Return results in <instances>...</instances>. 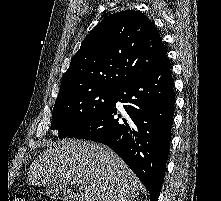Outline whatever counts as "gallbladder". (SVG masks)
Segmentation results:
<instances>
[{"label":"gallbladder","instance_id":"gallbladder-1","mask_svg":"<svg viewBox=\"0 0 221 201\" xmlns=\"http://www.w3.org/2000/svg\"><path fill=\"white\" fill-rule=\"evenodd\" d=\"M45 191L51 199H59L62 201H66L74 196L69 188L60 184L49 185Z\"/></svg>","mask_w":221,"mask_h":201}]
</instances>
